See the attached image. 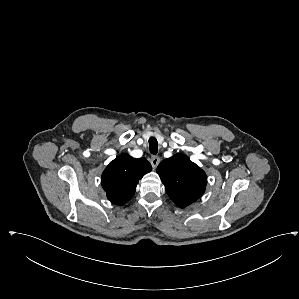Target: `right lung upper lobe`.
I'll return each mask as SVG.
<instances>
[{
    "label": "right lung upper lobe",
    "instance_id": "right-lung-upper-lobe-1",
    "mask_svg": "<svg viewBox=\"0 0 299 299\" xmlns=\"http://www.w3.org/2000/svg\"><path fill=\"white\" fill-rule=\"evenodd\" d=\"M152 169L145 159L122 154L111 161L101 177L108 199L119 206L127 203L135 193L138 181Z\"/></svg>",
    "mask_w": 299,
    "mask_h": 299
}]
</instances>
